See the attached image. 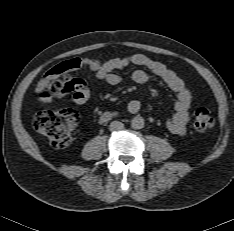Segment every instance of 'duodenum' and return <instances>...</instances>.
<instances>
[{
  "mask_svg": "<svg viewBox=\"0 0 234 231\" xmlns=\"http://www.w3.org/2000/svg\"><path fill=\"white\" fill-rule=\"evenodd\" d=\"M113 117V113L111 112H104L101 117H100V120L102 122H105V121H108L109 119H111Z\"/></svg>",
  "mask_w": 234,
  "mask_h": 231,
  "instance_id": "obj_1",
  "label": "duodenum"
}]
</instances>
